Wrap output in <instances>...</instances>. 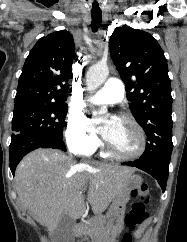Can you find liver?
<instances>
[{
    "instance_id": "liver-1",
    "label": "liver",
    "mask_w": 187,
    "mask_h": 242,
    "mask_svg": "<svg viewBox=\"0 0 187 242\" xmlns=\"http://www.w3.org/2000/svg\"><path fill=\"white\" fill-rule=\"evenodd\" d=\"M135 169L119 165H78L61 151L38 149L26 155L15 172L19 201L52 235L64 216L81 218L87 201L95 215L127 188Z\"/></svg>"
}]
</instances>
